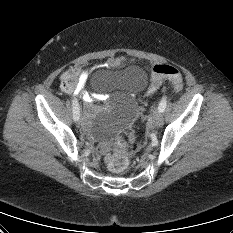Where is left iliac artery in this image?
I'll list each match as a JSON object with an SVG mask.
<instances>
[{
  "mask_svg": "<svg viewBox=\"0 0 233 233\" xmlns=\"http://www.w3.org/2000/svg\"><path fill=\"white\" fill-rule=\"evenodd\" d=\"M166 105H167V98L163 97L162 100L159 103V107H158L159 111L164 112V110L166 108Z\"/></svg>",
  "mask_w": 233,
  "mask_h": 233,
  "instance_id": "obj_1",
  "label": "left iliac artery"
}]
</instances>
